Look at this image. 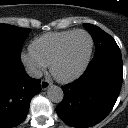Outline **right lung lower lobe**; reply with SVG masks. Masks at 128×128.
<instances>
[{
    "label": "right lung lower lobe",
    "instance_id": "1",
    "mask_svg": "<svg viewBox=\"0 0 128 128\" xmlns=\"http://www.w3.org/2000/svg\"><path fill=\"white\" fill-rule=\"evenodd\" d=\"M40 81L25 73L21 61L0 54V128L19 125L27 116Z\"/></svg>",
    "mask_w": 128,
    "mask_h": 128
}]
</instances>
